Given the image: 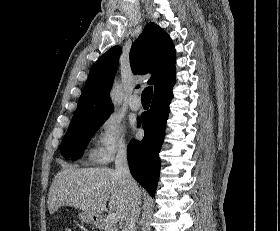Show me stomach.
Returning <instances> with one entry per match:
<instances>
[{
  "mask_svg": "<svg viewBox=\"0 0 280 231\" xmlns=\"http://www.w3.org/2000/svg\"><path fill=\"white\" fill-rule=\"evenodd\" d=\"M79 219H81L82 223H94V225H99V217H91L90 213H87V211L79 213Z\"/></svg>",
  "mask_w": 280,
  "mask_h": 231,
  "instance_id": "stomach-1",
  "label": "stomach"
}]
</instances>
